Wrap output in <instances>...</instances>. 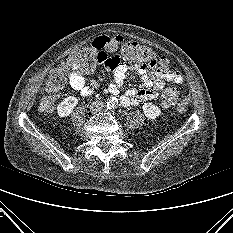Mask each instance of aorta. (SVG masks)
Segmentation results:
<instances>
[{"instance_id": "762f6f07", "label": "aorta", "mask_w": 233, "mask_h": 233, "mask_svg": "<svg viewBox=\"0 0 233 233\" xmlns=\"http://www.w3.org/2000/svg\"><path fill=\"white\" fill-rule=\"evenodd\" d=\"M117 103H118V100L115 97H112L108 101V107L114 108L116 107Z\"/></svg>"}]
</instances>
